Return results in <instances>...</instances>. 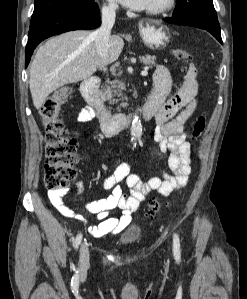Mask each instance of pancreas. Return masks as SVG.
I'll list each match as a JSON object with an SVG mask.
<instances>
[{"label":"pancreas","instance_id":"obj_1","mask_svg":"<svg viewBox=\"0 0 247 299\" xmlns=\"http://www.w3.org/2000/svg\"><path fill=\"white\" fill-rule=\"evenodd\" d=\"M141 62H143L147 67H153L155 66L156 57L151 55H146L140 58ZM110 84V85H109ZM125 87L123 85L122 81L119 80H113L102 89V95L105 99L109 100L110 102L116 101L114 99V96H121L124 97L121 93L122 90H124ZM123 106H126L125 103L122 104Z\"/></svg>","mask_w":247,"mask_h":299}]
</instances>
